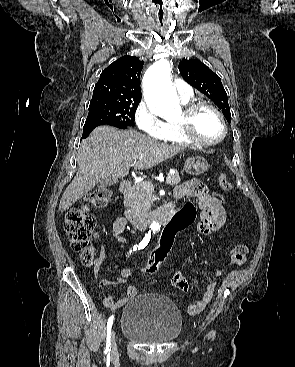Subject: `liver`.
Returning a JSON list of instances; mask_svg holds the SVG:
<instances>
[{"label": "liver", "mask_w": 295, "mask_h": 367, "mask_svg": "<svg viewBox=\"0 0 295 367\" xmlns=\"http://www.w3.org/2000/svg\"><path fill=\"white\" fill-rule=\"evenodd\" d=\"M183 151V147L158 142L132 129L99 126L80 144L78 171L63 193L59 210H68L99 182L127 176L136 160V169H149Z\"/></svg>", "instance_id": "6515ba94"}]
</instances>
